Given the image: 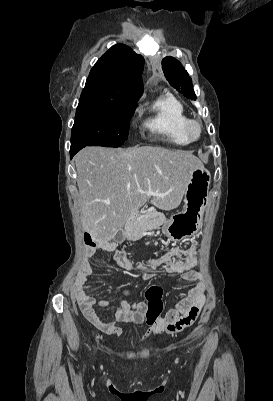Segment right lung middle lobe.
Returning a JSON list of instances; mask_svg holds the SVG:
<instances>
[{
	"label": "right lung middle lobe",
	"instance_id": "obj_1",
	"mask_svg": "<svg viewBox=\"0 0 273 401\" xmlns=\"http://www.w3.org/2000/svg\"><path fill=\"white\" fill-rule=\"evenodd\" d=\"M135 105L115 100L80 98L71 132L72 146L119 147L128 137Z\"/></svg>",
	"mask_w": 273,
	"mask_h": 401
}]
</instances>
